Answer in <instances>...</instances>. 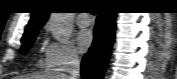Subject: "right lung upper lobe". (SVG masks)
I'll list each match as a JSON object with an SVG mask.
<instances>
[{
	"label": "right lung upper lobe",
	"mask_w": 177,
	"mask_h": 79,
	"mask_svg": "<svg viewBox=\"0 0 177 79\" xmlns=\"http://www.w3.org/2000/svg\"><path fill=\"white\" fill-rule=\"evenodd\" d=\"M49 16V12L45 9H37L33 12L32 17L25 29V33L22 37L24 39L26 36H28L30 33L38 31L47 21Z\"/></svg>",
	"instance_id": "1"
}]
</instances>
